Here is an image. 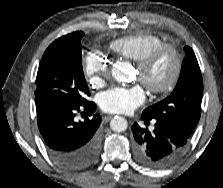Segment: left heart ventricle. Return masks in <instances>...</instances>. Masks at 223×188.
<instances>
[{
	"label": "left heart ventricle",
	"mask_w": 223,
	"mask_h": 188,
	"mask_svg": "<svg viewBox=\"0 0 223 188\" xmlns=\"http://www.w3.org/2000/svg\"><path fill=\"white\" fill-rule=\"evenodd\" d=\"M172 68L173 60L170 53H164L146 74V81L153 85H161L170 77ZM136 77L140 78L138 69L136 71Z\"/></svg>",
	"instance_id": "1"
}]
</instances>
